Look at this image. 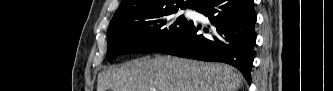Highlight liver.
<instances>
[{
	"label": "liver",
	"instance_id": "liver-1",
	"mask_svg": "<svg viewBox=\"0 0 333 91\" xmlns=\"http://www.w3.org/2000/svg\"><path fill=\"white\" fill-rule=\"evenodd\" d=\"M242 84L232 66L156 55L103 70L97 91H237Z\"/></svg>",
	"mask_w": 333,
	"mask_h": 91
}]
</instances>
